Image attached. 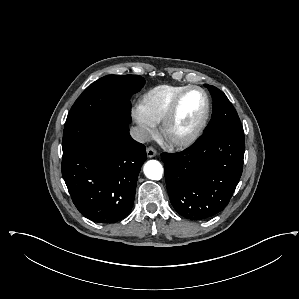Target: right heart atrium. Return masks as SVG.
Instances as JSON below:
<instances>
[{
    "mask_svg": "<svg viewBox=\"0 0 299 299\" xmlns=\"http://www.w3.org/2000/svg\"><path fill=\"white\" fill-rule=\"evenodd\" d=\"M132 115L141 130L143 139H149L155 134V125L141 113L139 108H135Z\"/></svg>",
    "mask_w": 299,
    "mask_h": 299,
    "instance_id": "obj_1",
    "label": "right heart atrium"
}]
</instances>
